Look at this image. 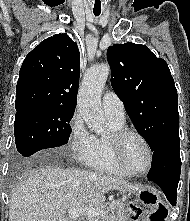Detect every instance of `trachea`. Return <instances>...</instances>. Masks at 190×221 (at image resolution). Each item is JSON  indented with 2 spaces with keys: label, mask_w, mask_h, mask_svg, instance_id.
Instances as JSON below:
<instances>
[{
  "label": "trachea",
  "mask_w": 190,
  "mask_h": 221,
  "mask_svg": "<svg viewBox=\"0 0 190 221\" xmlns=\"http://www.w3.org/2000/svg\"><path fill=\"white\" fill-rule=\"evenodd\" d=\"M93 13H94L95 16H98V15H100L101 10H94Z\"/></svg>",
  "instance_id": "3493384b"
}]
</instances>
